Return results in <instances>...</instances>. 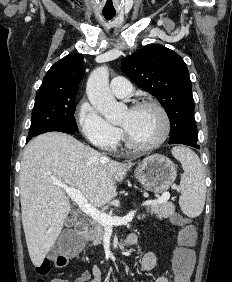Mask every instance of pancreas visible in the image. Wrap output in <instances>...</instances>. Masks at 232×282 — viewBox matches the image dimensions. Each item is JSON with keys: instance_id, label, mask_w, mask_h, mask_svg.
<instances>
[{"instance_id": "1", "label": "pancreas", "mask_w": 232, "mask_h": 282, "mask_svg": "<svg viewBox=\"0 0 232 282\" xmlns=\"http://www.w3.org/2000/svg\"><path fill=\"white\" fill-rule=\"evenodd\" d=\"M147 212L155 214L158 219H163L175 213V206L172 202H165L160 205L151 206V208L147 209ZM90 225L91 228L85 234L86 239L93 241L94 245L101 244L105 233L104 226L94 220L91 221Z\"/></svg>"}]
</instances>
